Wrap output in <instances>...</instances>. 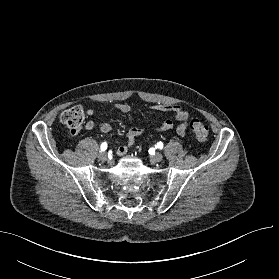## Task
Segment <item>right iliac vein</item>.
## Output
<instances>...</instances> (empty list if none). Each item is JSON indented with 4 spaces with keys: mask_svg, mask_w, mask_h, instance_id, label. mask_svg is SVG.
<instances>
[{
    "mask_svg": "<svg viewBox=\"0 0 279 279\" xmlns=\"http://www.w3.org/2000/svg\"><path fill=\"white\" fill-rule=\"evenodd\" d=\"M99 160L101 161H106L108 159V156L106 153H101L99 156H98Z\"/></svg>",
    "mask_w": 279,
    "mask_h": 279,
    "instance_id": "63e3f726",
    "label": "right iliac vein"
}]
</instances>
